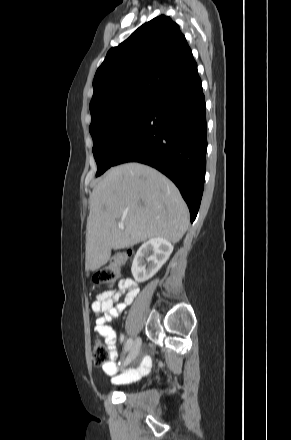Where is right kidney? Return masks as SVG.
Segmentation results:
<instances>
[{
  "mask_svg": "<svg viewBox=\"0 0 291 440\" xmlns=\"http://www.w3.org/2000/svg\"><path fill=\"white\" fill-rule=\"evenodd\" d=\"M172 251L173 245L161 237L151 238L142 244L131 267L134 279L137 282H144L153 277L168 260Z\"/></svg>",
  "mask_w": 291,
  "mask_h": 440,
  "instance_id": "1",
  "label": "right kidney"
}]
</instances>
